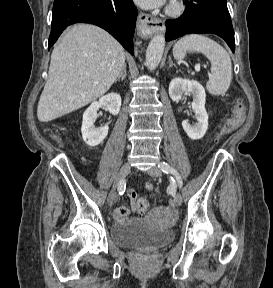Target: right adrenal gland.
I'll use <instances>...</instances> for the list:
<instances>
[{"label":"right adrenal gland","instance_id":"right-adrenal-gland-1","mask_svg":"<svg viewBox=\"0 0 273 288\" xmlns=\"http://www.w3.org/2000/svg\"><path fill=\"white\" fill-rule=\"evenodd\" d=\"M126 65H124L121 73L119 74V76L117 77V79L115 80V83L121 78L122 80H124L126 78Z\"/></svg>","mask_w":273,"mask_h":288}]
</instances>
